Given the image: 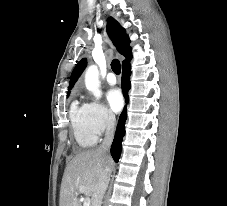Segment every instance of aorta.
<instances>
[{"mask_svg":"<svg viewBox=\"0 0 227 206\" xmlns=\"http://www.w3.org/2000/svg\"><path fill=\"white\" fill-rule=\"evenodd\" d=\"M85 85L86 88L93 93V95L100 99L102 91L100 89L99 71L96 65L88 67L85 73Z\"/></svg>","mask_w":227,"mask_h":206,"instance_id":"1","label":"aorta"}]
</instances>
